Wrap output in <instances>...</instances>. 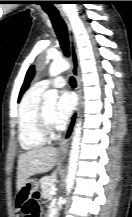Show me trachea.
<instances>
[{
  "mask_svg": "<svg viewBox=\"0 0 132 217\" xmlns=\"http://www.w3.org/2000/svg\"><path fill=\"white\" fill-rule=\"evenodd\" d=\"M48 15L59 39L61 48L65 56L69 57L70 50L66 24L58 13H48ZM70 84L72 87H76V80L74 77L70 78Z\"/></svg>",
  "mask_w": 132,
  "mask_h": 217,
  "instance_id": "trachea-1",
  "label": "trachea"
}]
</instances>
